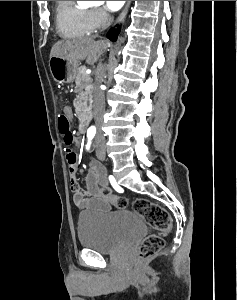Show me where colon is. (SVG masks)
<instances>
[{"label":"colon","instance_id":"colon-1","mask_svg":"<svg viewBox=\"0 0 237 300\" xmlns=\"http://www.w3.org/2000/svg\"><path fill=\"white\" fill-rule=\"evenodd\" d=\"M58 129L67 146L77 143V136L72 131L70 121L64 114L58 118ZM102 193L116 208L124 209L127 207L128 201L124 196L112 194L107 187L103 188ZM132 207L134 212L142 216L155 231L148 235L138 247L139 259L146 260L156 255L163 248V236L171 228V217L165 208L145 198L136 199Z\"/></svg>","mask_w":237,"mask_h":300}]
</instances>
